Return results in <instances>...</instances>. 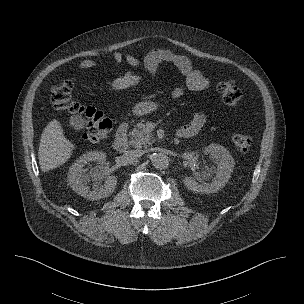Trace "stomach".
Listing matches in <instances>:
<instances>
[{
    "mask_svg": "<svg viewBox=\"0 0 304 304\" xmlns=\"http://www.w3.org/2000/svg\"><path fill=\"white\" fill-rule=\"evenodd\" d=\"M157 108H158V104L155 102L142 101L135 104L132 111L135 116H143L157 110Z\"/></svg>",
    "mask_w": 304,
    "mask_h": 304,
    "instance_id": "0dacf381",
    "label": "stomach"
}]
</instances>
